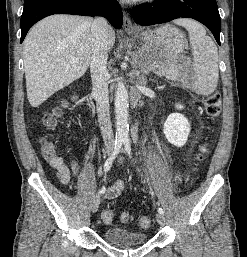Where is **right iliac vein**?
Listing matches in <instances>:
<instances>
[{
    "mask_svg": "<svg viewBox=\"0 0 247 257\" xmlns=\"http://www.w3.org/2000/svg\"><path fill=\"white\" fill-rule=\"evenodd\" d=\"M110 153V151H108ZM100 204V195L96 194L95 196L92 197L90 201V209L93 213H95L98 210Z\"/></svg>",
    "mask_w": 247,
    "mask_h": 257,
    "instance_id": "right-iliac-vein-1",
    "label": "right iliac vein"
}]
</instances>
